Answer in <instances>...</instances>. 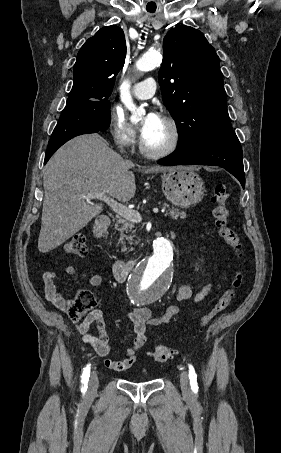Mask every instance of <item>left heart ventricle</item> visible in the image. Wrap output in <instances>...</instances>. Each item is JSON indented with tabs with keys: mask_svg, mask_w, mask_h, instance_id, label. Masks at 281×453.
Here are the masks:
<instances>
[{
	"mask_svg": "<svg viewBox=\"0 0 281 453\" xmlns=\"http://www.w3.org/2000/svg\"><path fill=\"white\" fill-rule=\"evenodd\" d=\"M148 148L152 150L164 149L171 141L170 131L160 120L143 136Z\"/></svg>",
	"mask_w": 281,
	"mask_h": 453,
	"instance_id": "left-heart-ventricle-1",
	"label": "left heart ventricle"
}]
</instances>
